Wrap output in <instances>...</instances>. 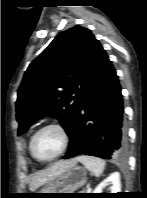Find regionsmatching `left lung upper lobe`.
<instances>
[{
	"instance_id": "obj_1",
	"label": "left lung upper lobe",
	"mask_w": 147,
	"mask_h": 198,
	"mask_svg": "<svg viewBox=\"0 0 147 198\" xmlns=\"http://www.w3.org/2000/svg\"><path fill=\"white\" fill-rule=\"evenodd\" d=\"M97 40L74 26L60 32L28 67L18 89V135L44 116L56 117L69 135L89 77Z\"/></svg>"
}]
</instances>
